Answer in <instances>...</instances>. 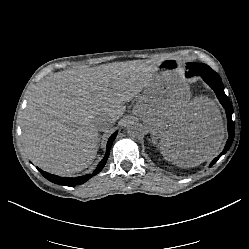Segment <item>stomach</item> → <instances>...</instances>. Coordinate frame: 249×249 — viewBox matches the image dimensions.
Masks as SVG:
<instances>
[{
    "instance_id": "1",
    "label": "stomach",
    "mask_w": 249,
    "mask_h": 249,
    "mask_svg": "<svg viewBox=\"0 0 249 249\" xmlns=\"http://www.w3.org/2000/svg\"><path fill=\"white\" fill-rule=\"evenodd\" d=\"M191 108L190 93L174 59L160 63L155 81L149 83L141 97L145 125L154 131L169 128L185 117Z\"/></svg>"
}]
</instances>
